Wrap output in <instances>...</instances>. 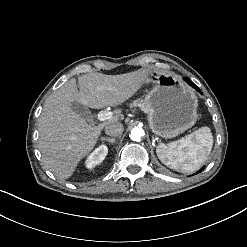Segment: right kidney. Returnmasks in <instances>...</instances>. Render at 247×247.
<instances>
[{"mask_svg":"<svg viewBox=\"0 0 247 247\" xmlns=\"http://www.w3.org/2000/svg\"><path fill=\"white\" fill-rule=\"evenodd\" d=\"M108 154V147L106 145H100L96 148L86 159L85 166L88 169L94 168L100 164Z\"/></svg>","mask_w":247,"mask_h":247,"instance_id":"right-kidney-1","label":"right kidney"}]
</instances>
